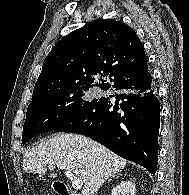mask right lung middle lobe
Segmentation results:
<instances>
[{"instance_id":"right-lung-middle-lobe-1","label":"right lung middle lobe","mask_w":189,"mask_h":195,"mask_svg":"<svg viewBox=\"0 0 189 195\" xmlns=\"http://www.w3.org/2000/svg\"><path fill=\"white\" fill-rule=\"evenodd\" d=\"M90 87L92 86L65 88L33 100L27 109L22 143L38 134L53 130L95 103L98 99L86 97L85 91Z\"/></svg>"}]
</instances>
